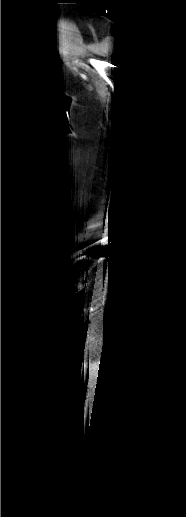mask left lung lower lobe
Instances as JSON below:
<instances>
[{
	"mask_svg": "<svg viewBox=\"0 0 186 517\" xmlns=\"http://www.w3.org/2000/svg\"><path fill=\"white\" fill-rule=\"evenodd\" d=\"M112 250V247L108 246H102V247H96L89 251V254L91 256L99 257L103 255H109V251ZM112 255V254H111Z\"/></svg>",
	"mask_w": 186,
	"mask_h": 517,
	"instance_id": "1",
	"label": "left lung lower lobe"
}]
</instances>
